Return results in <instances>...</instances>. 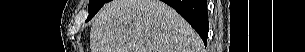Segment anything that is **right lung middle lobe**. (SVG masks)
Segmentation results:
<instances>
[{"label": "right lung middle lobe", "mask_w": 305, "mask_h": 52, "mask_svg": "<svg viewBox=\"0 0 305 52\" xmlns=\"http://www.w3.org/2000/svg\"><path fill=\"white\" fill-rule=\"evenodd\" d=\"M106 2H108V0H89V16L87 21H89Z\"/></svg>", "instance_id": "1"}]
</instances>
